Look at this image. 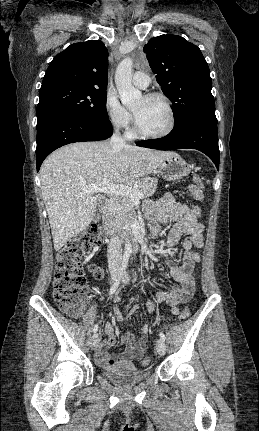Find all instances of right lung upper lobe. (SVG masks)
Masks as SVG:
<instances>
[{
	"mask_svg": "<svg viewBox=\"0 0 259 431\" xmlns=\"http://www.w3.org/2000/svg\"><path fill=\"white\" fill-rule=\"evenodd\" d=\"M108 50L104 43L86 41L68 46L51 61L40 91L52 84L107 89Z\"/></svg>",
	"mask_w": 259,
	"mask_h": 431,
	"instance_id": "cb5924a9",
	"label": "right lung upper lobe"
}]
</instances>
